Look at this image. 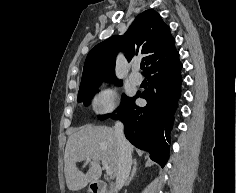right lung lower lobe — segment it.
<instances>
[{
	"label": "right lung lower lobe",
	"mask_w": 237,
	"mask_h": 193,
	"mask_svg": "<svg viewBox=\"0 0 237 193\" xmlns=\"http://www.w3.org/2000/svg\"><path fill=\"white\" fill-rule=\"evenodd\" d=\"M176 51L168 58L152 65L145 75L150 83L141 95L147 100L145 107H138L135 98H130L124 108L113 119L125 125L126 138L137 148L150 153V158L164 167L168 160L169 131L180 96V74L182 64Z\"/></svg>",
	"instance_id": "1"
}]
</instances>
